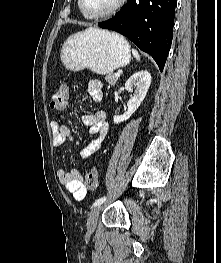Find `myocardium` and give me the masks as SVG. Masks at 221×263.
<instances>
[{
    "mask_svg": "<svg viewBox=\"0 0 221 263\" xmlns=\"http://www.w3.org/2000/svg\"><path fill=\"white\" fill-rule=\"evenodd\" d=\"M127 0H118L116 2V4L114 6H112L110 9L99 13V14H92L89 13L88 11H86L84 4H83V0H78V6L80 11L82 12V14L89 18V19H102V18H106L109 17L111 15H114L116 12H118L126 3Z\"/></svg>",
    "mask_w": 221,
    "mask_h": 263,
    "instance_id": "myocardium-1",
    "label": "myocardium"
}]
</instances>
